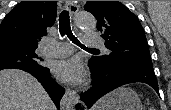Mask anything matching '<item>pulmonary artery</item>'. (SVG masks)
<instances>
[{
	"label": "pulmonary artery",
	"instance_id": "e3ab8cb5",
	"mask_svg": "<svg viewBox=\"0 0 171 110\" xmlns=\"http://www.w3.org/2000/svg\"><path fill=\"white\" fill-rule=\"evenodd\" d=\"M84 43L89 47H99L104 49L103 41L96 33L88 32L84 35ZM46 47L44 53L50 57H65L72 53V46L65 42L45 40Z\"/></svg>",
	"mask_w": 171,
	"mask_h": 110
}]
</instances>
